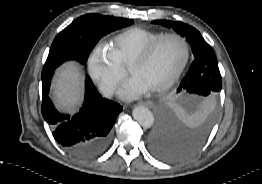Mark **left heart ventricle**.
<instances>
[{
  "instance_id": "b2bd125f",
  "label": "left heart ventricle",
  "mask_w": 262,
  "mask_h": 184,
  "mask_svg": "<svg viewBox=\"0 0 262 184\" xmlns=\"http://www.w3.org/2000/svg\"><path fill=\"white\" fill-rule=\"evenodd\" d=\"M184 57V44L177 38H167L156 47L145 64L135 69L133 78L138 79L147 89L158 87L174 75Z\"/></svg>"
}]
</instances>
